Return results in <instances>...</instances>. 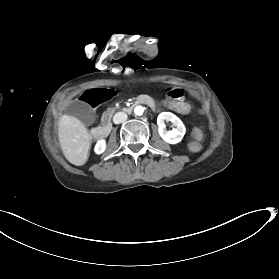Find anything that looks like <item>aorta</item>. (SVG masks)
Returning <instances> with one entry per match:
<instances>
[{
    "label": "aorta",
    "mask_w": 279,
    "mask_h": 279,
    "mask_svg": "<svg viewBox=\"0 0 279 279\" xmlns=\"http://www.w3.org/2000/svg\"><path fill=\"white\" fill-rule=\"evenodd\" d=\"M144 112V108L142 106H136L134 109V113L138 116H141Z\"/></svg>",
    "instance_id": "aorta-1"
}]
</instances>
